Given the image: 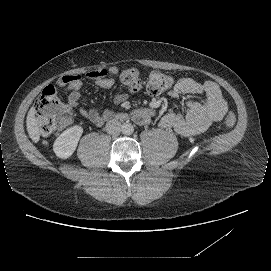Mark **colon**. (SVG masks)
Returning <instances> with one entry per match:
<instances>
[{
  "mask_svg": "<svg viewBox=\"0 0 271 271\" xmlns=\"http://www.w3.org/2000/svg\"><path fill=\"white\" fill-rule=\"evenodd\" d=\"M120 79L128 88L136 91L140 86V73L136 67H128L121 71ZM173 85V79L153 69L148 73L146 89L150 95H158L168 91ZM70 121L69 110L57 97L53 86L45 87L35 103V122L40 133L44 136L52 134L58 129L68 125ZM236 123L235 116L229 112L225 116V124L233 127Z\"/></svg>",
  "mask_w": 271,
  "mask_h": 271,
  "instance_id": "5ec220e1",
  "label": "colon"
}]
</instances>
